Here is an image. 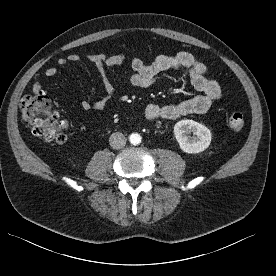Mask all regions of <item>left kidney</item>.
I'll return each instance as SVG.
<instances>
[{"label": "left kidney", "mask_w": 276, "mask_h": 276, "mask_svg": "<svg viewBox=\"0 0 276 276\" xmlns=\"http://www.w3.org/2000/svg\"><path fill=\"white\" fill-rule=\"evenodd\" d=\"M193 133V137L188 134ZM174 134L180 149L188 154H197L207 149L211 143L210 130L193 120H181L174 126Z\"/></svg>", "instance_id": "1"}]
</instances>
